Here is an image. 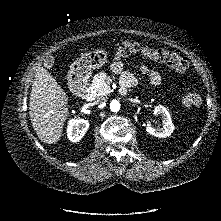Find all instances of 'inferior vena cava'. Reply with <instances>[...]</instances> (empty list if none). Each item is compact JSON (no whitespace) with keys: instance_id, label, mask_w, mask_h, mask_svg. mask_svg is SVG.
<instances>
[{"instance_id":"602c4592","label":"inferior vena cava","mask_w":221,"mask_h":221,"mask_svg":"<svg viewBox=\"0 0 221 221\" xmlns=\"http://www.w3.org/2000/svg\"><path fill=\"white\" fill-rule=\"evenodd\" d=\"M104 100H105V98H104V97H101V98H98L97 101H104Z\"/></svg>"}]
</instances>
